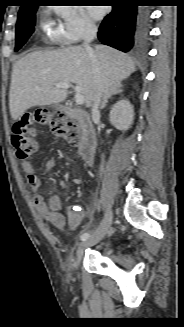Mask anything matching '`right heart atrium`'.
<instances>
[{
	"instance_id": "right-heart-atrium-1",
	"label": "right heart atrium",
	"mask_w": 184,
	"mask_h": 327,
	"mask_svg": "<svg viewBox=\"0 0 184 327\" xmlns=\"http://www.w3.org/2000/svg\"><path fill=\"white\" fill-rule=\"evenodd\" d=\"M96 27L81 7H63L58 21L50 25L51 39L61 45H72L91 37Z\"/></svg>"
}]
</instances>
